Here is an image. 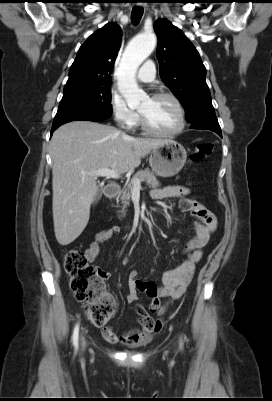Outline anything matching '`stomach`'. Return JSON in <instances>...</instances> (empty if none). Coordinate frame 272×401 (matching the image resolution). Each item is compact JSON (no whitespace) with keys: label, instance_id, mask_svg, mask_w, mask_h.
Returning <instances> with one entry per match:
<instances>
[{"label":"stomach","instance_id":"1","mask_svg":"<svg viewBox=\"0 0 272 401\" xmlns=\"http://www.w3.org/2000/svg\"><path fill=\"white\" fill-rule=\"evenodd\" d=\"M187 158L185 148L178 142L166 140L154 148L149 157L152 171L160 177H172L180 172Z\"/></svg>","mask_w":272,"mask_h":401}]
</instances>
